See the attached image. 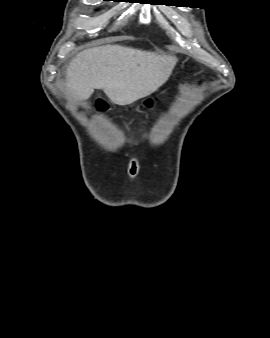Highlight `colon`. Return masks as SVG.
Listing matches in <instances>:
<instances>
[{
    "instance_id": "colon-1",
    "label": "colon",
    "mask_w": 270,
    "mask_h": 338,
    "mask_svg": "<svg viewBox=\"0 0 270 338\" xmlns=\"http://www.w3.org/2000/svg\"><path fill=\"white\" fill-rule=\"evenodd\" d=\"M147 104H148V105H151L152 102H151V101H148ZM106 106H107L106 102H105L104 100H102V99H100V100L97 102V107H98L100 110L105 109Z\"/></svg>"
}]
</instances>
